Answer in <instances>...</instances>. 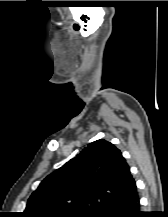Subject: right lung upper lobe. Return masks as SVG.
<instances>
[{
	"mask_svg": "<svg viewBox=\"0 0 168 217\" xmlns=\"http://www.w3.org/2000/svg\"><path fill=\"white\" fill-rule=\"evenodd\" d=\"M137 190L120 150L97 140L49 176L30 196L22 217H96Z\"/></svg>",
	"mask_w": 168,
	"mask_h": 217,
	"instance_id": "cb5924a9",
	"label": "right lung upper lobe"
}]
</instances>
